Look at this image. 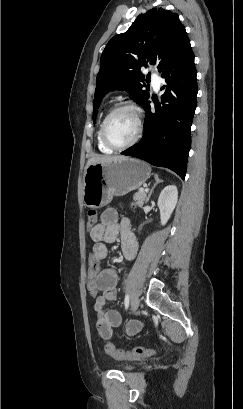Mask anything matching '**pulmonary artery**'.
<instances>
[{
  "instance_id": "obj_1",
  "label": "pulmonary artery",
  "mask_w": 243,
  "mask_h": 409,
  "mask_svg": "<svg viewBox=\"0 0 243 409\" xmlns=\"http://www.w3.org/2000/svg\"><path fill=\"white\" fill-rule=\"evenodd\" d=\"M151 81H152L154 89L157 91L159 89V87H160L161 82H162V79H161L160 75L158 73H153L151 75Z\"/></svg>"
}]
</instances>
